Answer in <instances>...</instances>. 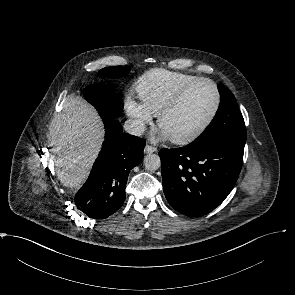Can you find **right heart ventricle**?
I'll return each mask as SVG.
<instances>
[{
  "label": "right heart ventricle",
  "instance_id": "e07e8e85",
  "mask_svg": "<svg viewBox=\"0 0 295 295\" xmlns=\"http://www.w3.org/2000/svg\"><path fill=\"white\" fill-rule=\"evenodd\" d=\"M197 78L185 73L154 69L139 78L136 88L142 102L154 115H158L180 89Z\"/></svg>",
  "mask_w": 295,
  "mask_h": 295
}]
</instances>
